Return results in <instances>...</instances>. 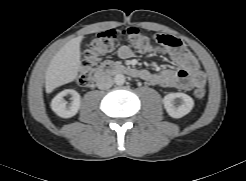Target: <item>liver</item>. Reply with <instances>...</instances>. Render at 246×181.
Wrapping results in <instances>:
<instances>
[{"mask_svg": "<svg viewBox=\"0 0 246 181\" xmlns=\"http://www.w3.org/2000/svg\"><path fill=\"white\" fill-rule=\"evenodd\" d=\"M82 39L83 36H78L68 41L51 60L45 74L47 93L76 79L81 65Z\"/></svg>", "mask_w": 246, "mask_h": 181, "instance_id": "1", "label": "liver"}]
</instances>
